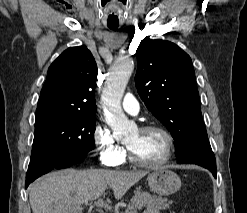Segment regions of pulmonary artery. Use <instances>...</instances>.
Masks as SVG:
<instances>
[{"label":"pulmonary artery","instance_id":"1","mask_svg":"<svg viewBox=\"0 0 247 213\" xmlns=\"http://www.w3.org/2000/svg\"><path fill=\"white\" fill-rule=\"evenodd\" d=\"M122 107L123 109L131 114V115H136L138 114L140 107L138 101L135 99V97L132 94H127L124 97V100L122 102Z\"/></svg>","mask_w":247,"mask_h":213}]
</instances>
